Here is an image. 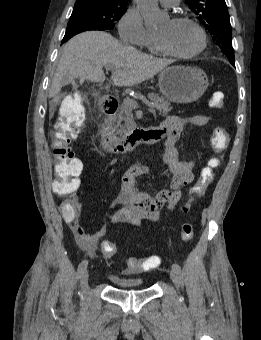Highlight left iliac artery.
I'll return each instance as SVG.
<instances>
[{
	"label": "left iliac artery",
	"instance_id": "obj_1",
	"mask_svg": "<svg viewBox=\"0 0 261 340\" xmlns=\"http://www.w3.org/2000/svg\"><path fill=\"white\" fill-rule=\"evenodd\" d=\"M172 269L176 270L178 273L181 272V267H180L179 264H177V263H174V264L172 265Z\"/></svg>",
	"mask_w": 261,
	"mask_h": 340
}]
</instances>
